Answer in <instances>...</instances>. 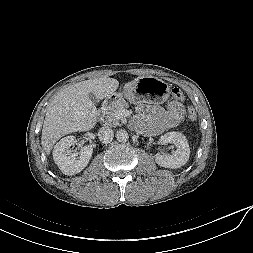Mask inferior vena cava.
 I'll return each instance as SVG.
<instances>
[{
	"label": "inferior vena cava",
	"mask_w": 253,
	"mask_h": 253,
	"mask_svg": "<svg viewBox=\"0 0 253 253\" xmlns=\"http://www.w3.org/2000/svg\"><path fill=\"white\" fill-rule=\"evenodd\" d=\"M114 136V131L109 126H103L98 131V138L103 143H109Z\"/></svg>",
	"instance_id": "inferior-vena-cava-1"
}]
</instances>
